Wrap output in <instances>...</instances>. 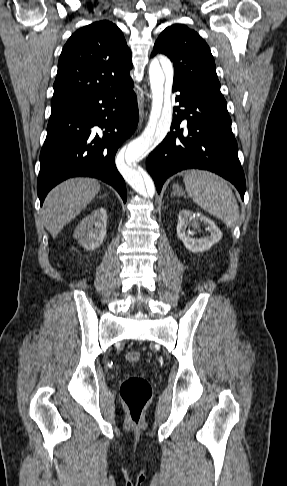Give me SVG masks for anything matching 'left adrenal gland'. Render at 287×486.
<instances>
[{"label": "left adrenal gland", "instance_id": "1", "mask_svg": "<svg viewBox=\"0 0 287 486\" xmlns=\"http://www.w3.org/2000/svg\"><path fill=\"white\" fill-rule=\"evenodd\" d=\"M171 196H184L185 197V193L183 192L182 188L175 184L173 185V192L171 194Z\"/></svg>", "mask_w": 287, "mask_h": 486}]
</instances>
